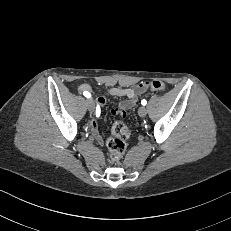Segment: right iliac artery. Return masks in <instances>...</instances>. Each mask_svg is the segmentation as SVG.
<instances>
[{
    "instance_id": "1",
    "label": "right iliac artery",
    "mask_w": 231,
    "mask_h": 231,
    "mask_svg": "<svg viewBox=\"0 0 231 231\" xmlns=\"http://www.w3.org/2000/svg\"><path fill=\"white\" fill-rule=\"evenodd\" d=\"M83 95H84L85 97H87V98H90V97H91V94H90L89 92H87V91L83 92ZM99 115H100V107L97 106V107H96V116L99 117Z\"/></svg>"
}]
</instances>
